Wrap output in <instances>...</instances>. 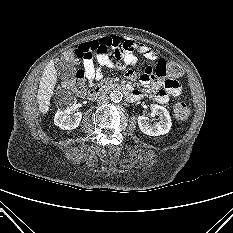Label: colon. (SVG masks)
Wrapping results in <instances>:
<instances>
[{
    "label": "colon",
    "instance_id": "colon-1",
    "mask_svg": "<svg viewBox=\"0 0 233 233\" xmlns=\"http://www.w3.org/2000/svg\"><path fill=\"white\" fill-rule=\"evenodd\" d=\"M182 67L179 63L172 59H163L157 65L156 73L159 76L169 75L171 77H179L182 75ZM64 88L73 92L77 96H82L85 92V74L82 71L64 83ZM175 118L179 121H185L190 116V108L186 103L178 102L174 106Z\"/></svg>",
    "mask_w": 233,
    "mask_h": 233
}]
</instances>
